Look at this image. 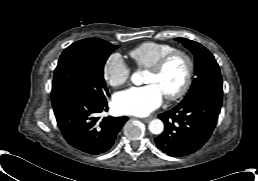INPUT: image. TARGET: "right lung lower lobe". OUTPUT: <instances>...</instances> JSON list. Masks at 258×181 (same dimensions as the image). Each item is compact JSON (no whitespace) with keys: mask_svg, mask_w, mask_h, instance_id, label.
<instances>
[{"mask_svg":"<svg viewBox=\"0 0 258 181\" xmlns=\"http://www.w3.org/2000/svg\"><path fill=\"white\" fill-rule=\"evenodd\" d=\"M58 126L73 147L82 152L98 155L108 151L127 117H104L98 114L108 111L107 101L96 102L85 96L57 91L51 94Z\"/></svg>","mask_w":258,"mask_h":181,"instance_id":"98d812e1","label":"right lung lower lobe"}]
</instances>
